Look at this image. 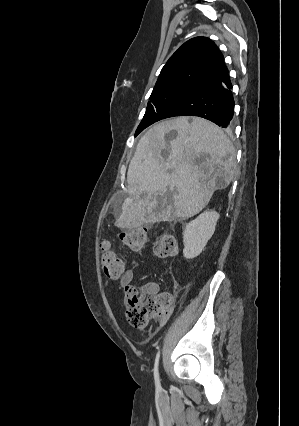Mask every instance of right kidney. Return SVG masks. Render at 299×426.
Returning a JSON list of instances; mask_svg holds the SVG:
<instances>
[{
    "label": "right kidney",
    "mask_w": 299,
    "mask_h": 426,
    "mask_svg": "<svg viewBox=\"0 0 299 426\" xmlns=\"http://www.w3.org/2000/svg\"><path fill=\"white\" fill-rule=\"evenodd\" d=\"M218 219L217 212L205 211L186 225L183 232V255L186 259H193L201 254L214 234Z\"/></svg>",
    "instance_id": "ca27d5eb"
}]
</instances>
